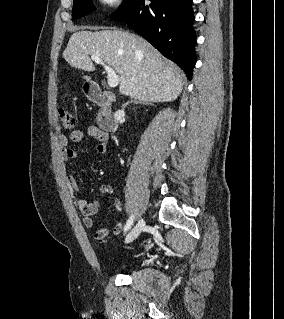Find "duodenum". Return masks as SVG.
Instances as JSON below:
<instances>
[{
    "mask_svg": "<svg viewBox=\"0 0 284 319\" xmlns=\"http://www.w3.org/2000/svg\"><path fill=\"white\" fill-rule=\"evenodd\" d=\"M88 98L98 106L97 123L105 132L114 129V119L111 104L114 96L111 92L102 91L96 86H90L87 90Z\"/></svg>",
    "mask_w": 284,
    "mask_h": 319,
    "instance_id": "1",
    "label": "duodenum"
}]
</instances>
